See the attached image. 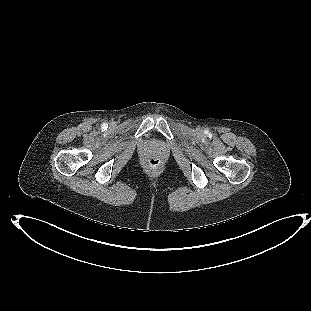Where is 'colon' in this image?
<instances>
[{"mask_svg": "<svg viewBox=\"0 0 311 311\" xmlns=\"http://www.w3.org/2000/svg\"><path fill=\"white\" fill-rule=\"evenodd\" d=\"M162 160L159 159V158H151L149 161H148V166L150 169L152 170H156V169H159L161 166H162Z\"/></svg>", "mask_w": 311, "mask_h": 311, "instance_id": "colon-1", "label": "colon"}]
</instances>
